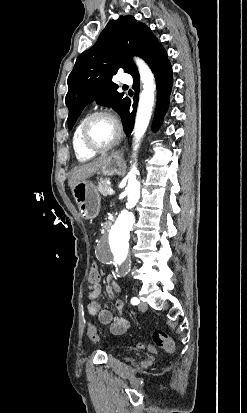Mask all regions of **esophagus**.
<instances>
[{
	"instance_id": "obj_1",
	"label": "esophagus",
	"mask_w": 247,
	"mask_h": 413,
	"mask_svg": "<svg viewBox=\"0 0 247 413\" xmlns=\"http://www.w3.org/2000/svg\"><path fill=\"white\" fill-rule=\"evenodd\" d=\"M117 155H123V149H120L116 152Z\"/></svg>"
}]
</instances>
